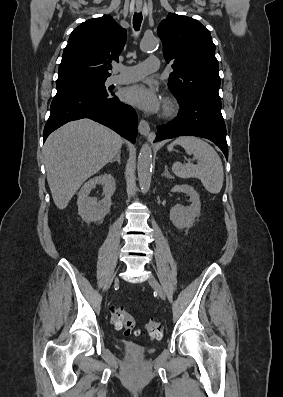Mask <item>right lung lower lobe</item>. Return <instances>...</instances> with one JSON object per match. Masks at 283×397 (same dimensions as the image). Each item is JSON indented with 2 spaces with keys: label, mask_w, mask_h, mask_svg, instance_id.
Wrapping results in <instances>:
<instances>
[{
  "label": "right lung lower lobe",
  "mask_w": 283,
  "mask_h": 397,
  "mask_svg": "<svg viewBox=\"0 0 283 397\" xmlns=\"http://www.w3.org/2000/svg\"><path fill=\"white\" fill-rule=\"evenodd\" d=\"M82 118L99 122L135 143L138 118L132 107L120 102L113 93L92 89H70L56 94L43 140L63 124Z\"/></svg>",
  "instance_id": "obj_1"
}]
</instances>
